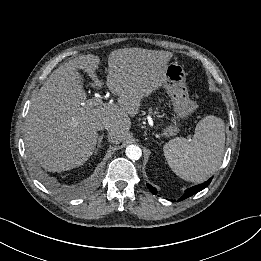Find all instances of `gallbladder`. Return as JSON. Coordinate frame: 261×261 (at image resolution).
<instances>
[{
	"mask_svg": "<svg viewBox=\"0 0 261 261\" xmlns=\"http://www.w3.org/2000/svg\"><path fill=\"white\" fill-rule=\"evenodd\" d=\"M84 77H83V75H78V81L80 82V84H83V82H84Z\"/></svg>",
	"mask_w": 261,
	"mask_h": 261,
	"instance_id": "bac80fb5",
	"label": "gallbladder"
}]
</instances>
